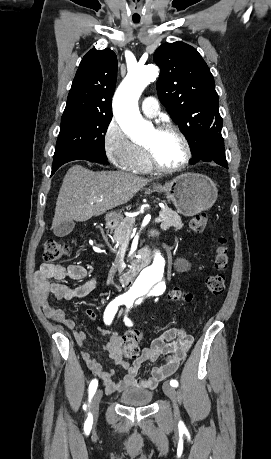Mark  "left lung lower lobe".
<instances>
[{"label": "left lung lower lobe", "instance_id": "obj_1", "mask_svg": "<svg viewBox=\"0 0 271 459\" xmlns=\"http://www.w3.org/2000/svg\"><path fill=\"white\" fill-rule=\"evenodd\" d=\"M208 145L209 146H208L207 151L200 158V160L192 161L191 164H195L199 161H204V162L214 161L215 163L225 168H228L226 157H225L224 139L221 135V130L214 132L213 135L209 137Z\"/></svg>", "mask_w": 271, "mask_h": 459}]
</instances>
